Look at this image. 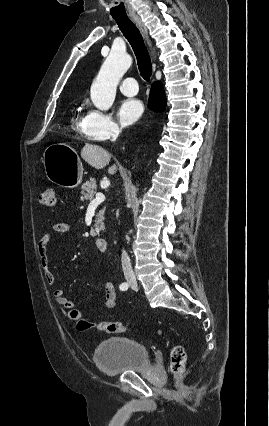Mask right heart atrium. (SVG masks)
<instances>
[{
	"mask_svg": "<svg viewBox=\"0 0 269 426\" xmlns=\"http://www.w3.org/2000/svg\"><path fill=\"white\" fill-rule=\"evenodd\" d=\"M84 135L95 141H105L120 134V128L112 117L100 110L89 109L82 120Z\"/></svg>",
	"mask_w": 269,
	"mask_h": 426,
	"instance_id": "1",
	"label": "right heart atrium"
}]
</instances>
